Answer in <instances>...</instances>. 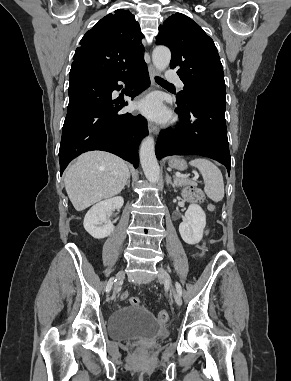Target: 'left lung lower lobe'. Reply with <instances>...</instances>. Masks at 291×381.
<instances>
[{
    "label": "left lung lower lobe",
    "instance_id": "0a47b994",
    "mask_svg": "<svg viewBox=\"0 0 291 381\" xmlns=\"http://www.w3.org/2000/svg\"><path fill=\"white\" fill-rule=\"evenodd\" d=\"M181 124L174 130L161 131L156 157L201 155L217 160L230 173V152L225 120L226 100L191 96L177 99Z\"/></svg>",
    "mask_w": 291,
    "mask_h": 381
}]
</instances>
